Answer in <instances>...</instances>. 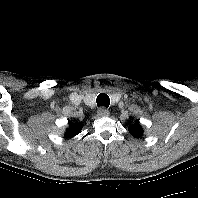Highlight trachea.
Masks as SVG:
<instances>
[{"mask_svg": "<svg viewBox=\"0 0 198 198\" xmlns=\"http://www.w3.org/2000/svg\"><path fill=\"white\" fill-rule=\"evenodd\" d=\"M96 102L98 107L103 106L104 108H108L110 104V99L107 94L101 93L97 96Z\"/></svg>", "mask_w": 198, "mask_h": 198, "instance_id": "trachea-1", "label": "trachea"}]
</instances>
